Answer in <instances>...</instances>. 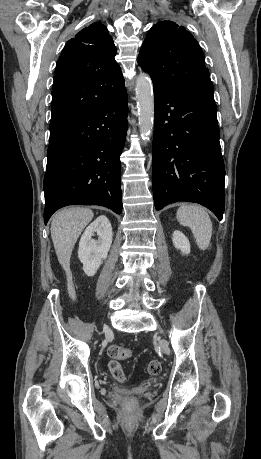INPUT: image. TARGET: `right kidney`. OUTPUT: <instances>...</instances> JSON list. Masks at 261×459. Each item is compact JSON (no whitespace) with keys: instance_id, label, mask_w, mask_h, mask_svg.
Listing matches in <instances>:
<instances>
[{"instance_id":"ca27d5eb","label":"right kidney","mask_w":261,"mask_h":459,"mask_svg":"<svg viewBox=\"0 0 261 459\" xmlns=\"http://www.w3.org/2000/svg\"><path fill=\"white\" fill-rule=\"evenodd\" d=\"M97 233L98 240L92 237ZM112 226L105 215L96 218L84 231L79 242L78 257L87 276H94L106 260L112 244Z\"/></svg>"}]
</instances>
